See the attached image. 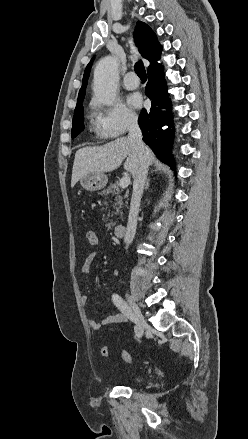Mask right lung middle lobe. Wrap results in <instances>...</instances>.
Segmentation results:
<instances>
[{
  "mask_svg": "<svg viewBox=\"0 0 248 439\" xmlns=\"http://www.w3.org/2000/svg\"><path fill=\"white\" fill-rule=\"evenodd\" d=\"M83 107L74 111L72 123V138H75L84 129Z\"/></svg>",
  "mask_w": 248,
  "mask_h": 439,
  "instance_id": "dd1d6c3e",
  "label": "right lung middle lobe"
}]
</instances>
